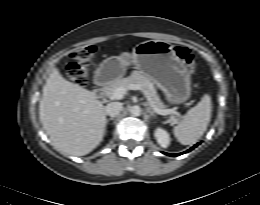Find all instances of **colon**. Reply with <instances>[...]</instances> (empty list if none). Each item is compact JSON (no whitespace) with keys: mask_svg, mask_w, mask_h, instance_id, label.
<instances>
[{"mask_svg":"<svg viewBox=\"0 0 260 205\" xmlns=\"http://www.w3.org/2000/svg\"><path fill=\"white\" fill-rule=\"evenodd\" d=\"M97 52L93 45L83 47L71 53L72 60L67 65L69 77L78 85L84 86L88 80L89 65ZM177 56L183 60L189 71L195 70L196 60L194 54L186 47L176 48Z\"/></svg>","mask_w":260,"mask_h":205,"instance_id":"colon-1","label":"colon"}]
</instances>
